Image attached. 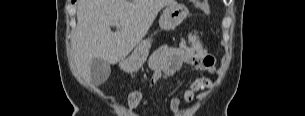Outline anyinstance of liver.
Instances as JSON below:
<instances>
[{
    "label": "liver",
    "instance_id": "6515ba94",
    "mask_svg": "<svg viewBox=\"0 0 305 116\" xmlns=\"http://www.w3.org/2000/svg\"><path fill=\"white\" fill-rule=\"evenodd\" d=\"M175 0H78L77 27L72 37L76 73L91 82V64L101 58L116 64L147 34L159 11ZM111 25L117 27L111 31Z\"/></svg>",
    "mask_w": 305,
    "mask_h": 116
}]
</instances>
